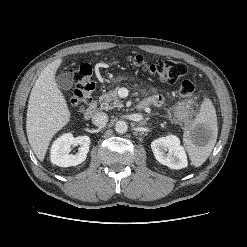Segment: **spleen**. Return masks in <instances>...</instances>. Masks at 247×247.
I'll return each mask as SVG.
<instances>
[{
  "label": "spleen",
  "instance_id": "3e777b00",
  "mask_svg": "<svg viewBox=\"0 0 247 247\" xmlns=\"http://www.w3.org/2000/svg\"><path fill=\"white\" fill-rule=\"evenodd\" d=\"M194 126H200L209 131V138L203 144H195L191 139V132L184 134V144L192 165L201 166L211 154L217 140L218 127L216 110L212 101L205 98L201 104L199 113L194 120Z\"/></svg>",
  "mask_w": 247,
  "mask_h": 247
}]
</instances>
